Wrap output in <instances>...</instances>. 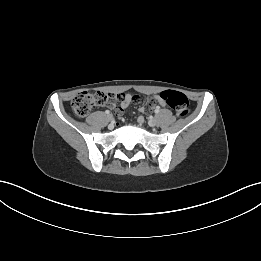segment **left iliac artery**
<instances>
[{"instance_id":"left-iliac-artery-1","label":"left iliac artery","mask_w":261,"mask_h":261,"mask_svg":"<svg viewBox=\"0 0 261 261\" xmlns=\"http://www.w3.org/2000/svg\"><path fill=\"white\" fill-rule=\"evenodd\" d=\"M159 111H160V107H156L155 113L157 114V113H159Z\"/></svg>"}]
</instances>
